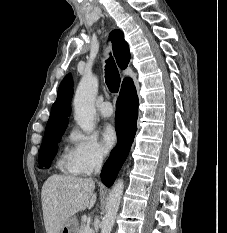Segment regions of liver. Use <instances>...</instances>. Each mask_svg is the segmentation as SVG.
I'll list each match as a JSON object with an SVG mask.
<instances>
[{
  "label": "liver",
  "mask_w": 227,
  "mask_h": 233,
  "mask_svg": "<svg viewBox=\"0 0 227 233\" xmlns=\"http://www.w3.org/2000/svg\"><path fill=\"white\" fill-rule=\"evenodd\" d=\"M95 182L90 178L52 175L43 184L41 201L46 233H60L77 212L96 202Z\"/></svg>",
  "instance_id": "6515ba94"
}]
</instances>
